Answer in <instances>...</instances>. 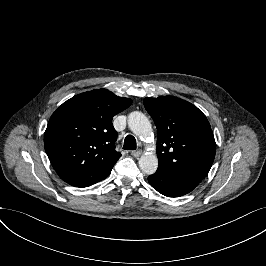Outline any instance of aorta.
Wrapping results in <instances>:
<instances>
[{
  "instance_id": "obj_1",
  "label": "aorta",
  "mask_w": 266,
  "mask_h": 266,
  "mask_svg": "<svg viewBox=\"0 0 266 266\" xmlns=\"http://www.w3.org/2000/svg\"><path fill=\"white\" fill-rule=\"evenodd\" d=\"M128 127L137 136H152V126L149 119L139 111L131 112L128 115ZM139 168L147 175H152L158 168V158L153 153L143 154L138 161Z\"/></svg>"
}]
</instances>
